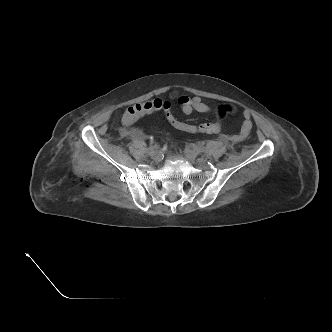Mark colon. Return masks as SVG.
<instances>
[{
    "label": "colon",
    "mask_w": 332,
    "mask_h": 332,
    "mask_svg": "<svg viewBox=\"0 0 332 332\" xmlns=\"http://www.w3.org/2000/svg\"><path fill=\"white\" fill-rule=\"evenodd\" d=\"M233 109L230 106L222 105L217 109L216 117L212 121L200 124H190L181 119L172 109L169 101L160 98L144 101L130 106L123 114L122 121L125 124H131L141 116L155 112H163L167 122L176 130L188 134H211L217 133L221 129V121L225 116L231 113Z\"/></svg>",
    "instance_id": "obj_1"
}]
</instances>
